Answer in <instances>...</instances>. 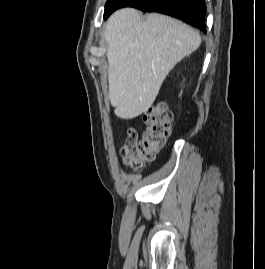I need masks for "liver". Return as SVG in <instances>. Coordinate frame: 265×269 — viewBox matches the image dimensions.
Wrapping results in <instances>:
<instances>
[{
    "instance_id": "1",
    "label": "liver",
    "mask_w": 265,
    "mask_h": 269,
    "mask_svg": "<svg viewBox=\"0 0 265 269\" xmlns=\"http://www.w3.org/2000/svg\"><path fill=\"white\" fill-rule=\"evenodd\" d=\"M109 98L114 113L133 119L151 107L161 85L184 57L198 49L201 37L171 17L123 8L111 15L105 30Z\"/></svg>"
}]
</instances>
